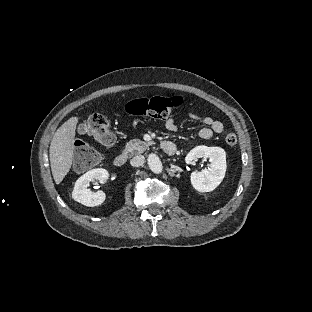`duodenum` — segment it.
<instances>
[{
	"label": "duodenum",
	"instance_id": "obj_1",
	"mask_svg": "<svg viewBox=\"0 0 312 312\" xmlns=\"http://www.w3.org/2000/svg\"><path fill=\"white\" fill-rule=\"evenodd\" d=\"M161 149L168 155H175L177 153V147L174 143L169 141H163L161 143ZM128 159V154L122 152L114 158V165L118 168L125 166Z\"/></svg>",
	"mask_w": 312,
	"mask_h": 312
}]
</instances>
